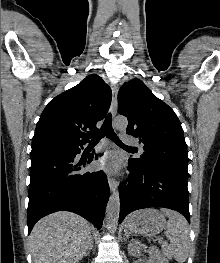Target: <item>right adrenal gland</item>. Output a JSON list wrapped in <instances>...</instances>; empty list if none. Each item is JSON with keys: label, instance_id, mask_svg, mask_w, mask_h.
Listing matches in <instances>:
<instances>
[{"label": "right adrenal gland", "instance_id": "2a0ac1e0", "mask_svg": "<svg viewBox=\"0 0 220 263\" xmlns=\"http://www.w3.org/2000/svg\"><path fill=\"white\" fill-rule=\"evenodd\" d=\"M93 244H94V241H93V239H92V240H91V243H90V245H89V248H88L87 251H86L85 256H87V255L89 254V252L93 250Z\"/></svg>", "mask_w": 220, "mask_h": 263}]
</instances>
